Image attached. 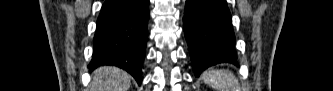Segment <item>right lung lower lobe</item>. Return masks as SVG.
Listing matches in <instances>:
<instances>
[{"label":"right lung lower lobe","mask_w":333,"mask_h":91,"mask_svg":"<svg viewBox=\"0 0 333 91\" xmlns=\"http://www.w3.org/2000/svg\"><path fill=\"white\" fill-rule=\"evenodd\" d=\"M149 0H106L97 20L90 71L114 65L141 84L145 58Z\"/></svg>","instance_id":"98d812e1"}]
</instances>
